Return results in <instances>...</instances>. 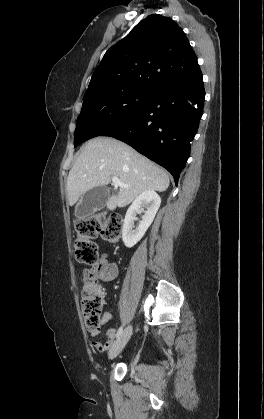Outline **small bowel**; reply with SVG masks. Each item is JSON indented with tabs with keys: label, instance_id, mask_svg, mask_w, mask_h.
<instances>
[{
	"label": "small bowel",
	"instance_id": "obj_1",
	"mask_svg": "<svg viewBox=\"0 0 264 419\" xmlns=\"http://www.w3.org/2000/svg\"><path fill=\"white\" fill-rule=\"evenodd\" d=\"M118 274L117 264L110 261L106 255H102L91 268H85L82 271V280H92L98 285L100 282H108L113 280ZM111 319V313L106 311L103 313L101 319V325L104 327L105 341L93 340V346L101 353L107 352L114 344L116 332L113 328L105 327L108 321ZM100 331L91 332V337L96 338Z\"/></svg>",
	"mask_w": 264,
	"mask_h": 419
}]
</instances>
